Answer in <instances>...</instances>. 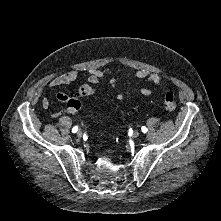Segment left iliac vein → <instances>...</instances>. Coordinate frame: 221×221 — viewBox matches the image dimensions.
<instances>
[{
	"label": "left iliac vein",
	"instance_id": "left-iliac-vein-1",
	"mask_svg": "<svg viewBox=\"0 0 221 221\" xmlns=\"http://www.w3.org/2000/svg\"><path fill=\"white\" fill-rule=\"evenodd\" d=\"M139 135H140V133L138 131H134L133 134H132V136L134 138H137Z\"/></svg>",
	"mask_w": 221,
	"mask_h": 221
}]
</instances>
